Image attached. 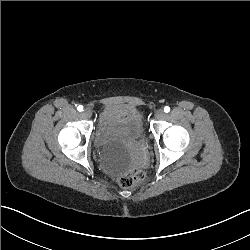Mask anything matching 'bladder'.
I'll use <instances>...</instances> for the list:
<instances>
[{"instance_id":"31cf9c89","label":"bladder","mask_w":250,"mask_h":250,"mask_svg":"<svg viewBox=\"0 0 250 250\" xmlns=\"http://www.w3.org/2000/svg\"><path fill=\"white\" fill-rule=\"evenodd\" d=\"M102 115L93 132L96 150L106 149L115 144H126L136 139H146L144 116L140 109L121 108L118 103H105Z\"/></svg>"}]
</instances>
